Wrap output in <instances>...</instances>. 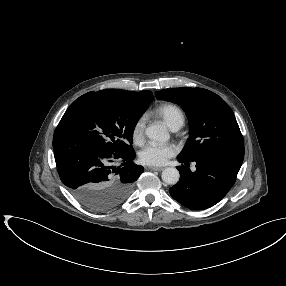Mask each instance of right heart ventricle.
<instances>
[{
	"label": "right heart ventricle",
	"instance_id": "right-heart-ventricle-1",
	"mask_svg": "<svg viewBox=\"0 0 286 286\" xmlns=\"http://www.w3.org/2000/svg\"><path fill=\"white\" fill-rule=\"evenodd\" d=\"M156 113L171 128L182 126L185 120L183 111L174 104H163L157 108Z\"/></svg>",
	"mask_w": 286,
	"mask_h": 286
}]
</instances>
